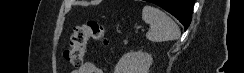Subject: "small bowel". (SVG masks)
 Masks as SVG:
<instances>
[{
    "label": "small bowel",
    "instance_id": "c3829d8e",
    "mask_svg": "<svg viewBox=\"0 0 244 73\" xmlns=\"http://www.w3.org/2000/svg\"><path fill=\"white\" fill-rule=\"evenodd\" d=\"M74 73H103V71L98 68L92 62H85L80 68L74 71Z\"/></svg>",
    "mask_w": 244,
    "mask_h": 73
}]
</instances>
